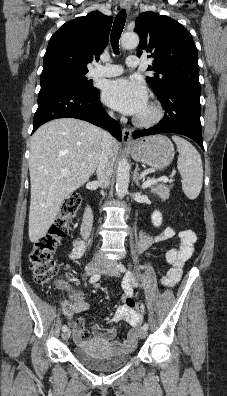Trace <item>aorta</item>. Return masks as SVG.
<instances>
[{
  "label": "aorta",
  "instance_id": "aorta-1",
  "mask_svg": "<svg viewBox=\"0 0 227 396\" xmlns=\"http://www.w3.org/2000/svg\"><path fill=\"white\" fill-rule=\"evenodd\" d=\"M139 44V36L136 33L127 32L121 37V46L124 49H132ZM130 181V166L126 159H122L117 167L116 172V193L121 199L128 192Z\"/></svg>",
  "mask_w": 227,
  "mask_h": 396
}]
</instances>
